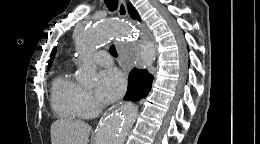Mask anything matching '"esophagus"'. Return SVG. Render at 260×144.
Returning <instances> with one entry per match:
<instances>
[{
  "label": "esophagus",
  "mask_w": 260,
  "mask_h": 144,
  "mask_svg": "<svg viewBox=\"0 0 260 144\" xmlns=\"http://www.w3.org/2000/svg\"><path fill=\"white\" fill-rule=\"evenodd\" d=\"M119 5H118V15L120 18H127L128 17V10H127V5L125 0H118ZM123 70L127 72V70L130 68L129 65L127 64H122Z\"/></svg>",
  "instance_id": "obj_1"
}]
</instances>
